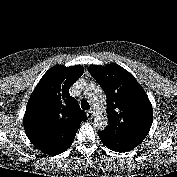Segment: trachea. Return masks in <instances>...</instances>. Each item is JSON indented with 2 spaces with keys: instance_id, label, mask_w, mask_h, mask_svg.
Returning a JSON list of instances; mask_svg holds the SVG:
<instances>
[{
  "instance_id": "trachea-1",
  "label": "trachea",
  "mask_w": 177,
  "mask_h": 177,
  "mask_svg": "<svg viewBox=\"0 0 177 177\" xmlns=\"http://www.w3.org/2000/svg\"><path fill=\"white\" fill-rule=\"evenodd\" d=\"M81 108L84 109V110H89L90 109V105H89V103L86 99L81 100Z\"/></svg>"
}]
</instances>
